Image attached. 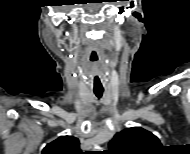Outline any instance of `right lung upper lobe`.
Wrapping results in <instances>:
<instances>
[{
  "label": "right lung upper lobe",
  "instance_id": "1",
  "mask_svg": "<svg viewBox=\"0 0 190 154\" xmlns=\"http://www.w3.org/2000/svg\"><path fill=\"white\" fill-rule=\"evenodd\" d=\"M42 154H81L79 140L73 136H61L47 144Z\"/></svg>",
  "mask_w": 190,
  "mask_h": 154
}]
</instances>
